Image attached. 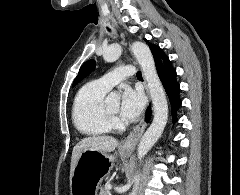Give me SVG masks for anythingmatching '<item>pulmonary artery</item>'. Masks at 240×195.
I'll list each match as a JSON object with an SVG mask.
<instances>
[{
    "label": "pulmonary artery",
    "instance_id": "obj_1",
    "mask_svg": "<svg viewBox=\"0 0 240 195\" xmlns=\"http://www.w3.org/2000/svg\"><path fill=\"white\" fill-rule=\"evenodd\" d=\"M120 71H110L109 74L102 75V78H98V83L110 90L120 80H126V76H132L135 73L132 65H123L119 67Z\"/></svg>",
    "mask_w": 240,
    "mask_h": 195
}]
</instances>
